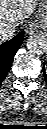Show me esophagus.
Here are the masks:
<instances>
[{
	"label": "esophagus",
	"mask_w": 47,
	"mask_h": 129,
	"mask_svg": "<svg viewBox=\"0 0 47 129\" xmlns=\"http://www.w3.org/2000/svg\"><path fill=\"white\" fill-rule=\"evenodd\" d=\"M36 29H37V24L36 23H34V22L29 23L25 28V33L28 34V35H32L36 31Z\"/></svg>",
	"instance_id": "34e87169"
}]
</instances>
